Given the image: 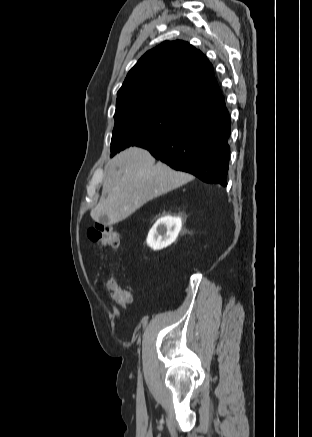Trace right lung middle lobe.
<instances>
[{
    "label": "right lung middle lobe",
    "mask_w": 312,
    "mask_h": 437,
    "mask_svg": "<svg viewBox=\"0 0 312 437\" xmlns=\"http://www.w3.org/2000/svg\"><path fill=\"white\" fill-rule=\"evenodd\" d=\"M195 112L176 105L150 102L115 111L111 156L130 147L162 139L184 126Z\"/></svg>",
    "instance_id": "dd1d6c3e"
}]
</instances>
